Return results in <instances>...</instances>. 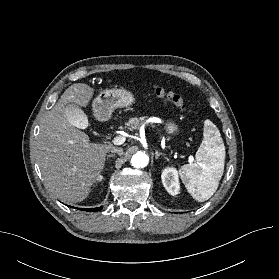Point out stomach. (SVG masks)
Masks as SVG:
<instances>
[{
    "mask_svg": "<svg viewBox=\"0 0 279 279\" xmlns=\"http://www.w3.org/2000/svg\"><path fill=\"white\" fill-rule=\"evenodd\" d=\"M135 100L133 93L123 88L103 90L93 101L94 116L99 121H107L115 109L131 106ZM164 130L169 135H175L179 127L174 121L168 120Z\"/></svg>",
    "mask_w": 279,
    "mask_h": 279,
    "instance_id": "1",
    "label": "stomach"
}]
</instances>
